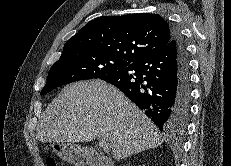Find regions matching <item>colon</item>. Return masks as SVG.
<instances>
[{"label": "colon", "instance_id": "5ec220e1", "mask_svg": "<svg viewBox=\"0 0 231 166\" xmlns=\"http://www.w3.org/2000/svg\"><path fill=\"white\" fill-rule=\"evenodd\" d=\"M47 166H58L56 161L53 158L47 160Z\"/></svg>", "mask_w": 231, "mask_h": 166}]
</instances>
